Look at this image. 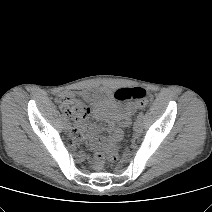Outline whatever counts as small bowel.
Segmentation results:
<instances>
[{"mask_svg":"<svg viewBox=\"0 0 212 212\" xmlns=\"http://www.w3.org/2000/svg\"><path fill=\"white\" fill-rule=\"evenodd\" d=\"M79 95L91 103L94 117L98 121L106 123L110 129L135 110L132 105H122L115 101L111 92L106 89L81 91ZM88 114L89 109L85 116L75 119V128L72 134L77 140L87 139L91 148L98 149L100 140L96 136L102 130V126L88 123Z\"/></svg>","mask_w":212,"mask_h":212,"instance_id":"small-bowel-1","label":"small bowel"}]
</instances>
